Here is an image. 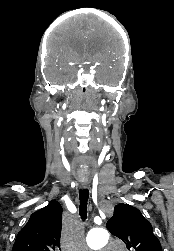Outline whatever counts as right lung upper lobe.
Instances as JSON below:
<instances>
[{
	"instance_id": "obj_1",
	"label": "right lung upper lobe",
	"mask_w": 174,
	"mask_h": 251,
	"mask_svg": "<svg viewBox=\"0 0 174 251\" xmlns=\"http://www.w3.org/2000/svg\"><path fill=\"white\" fill-rule=\"evenodd\" d=\"M62 207L57 201L34 212L18 233L12 251H58L62 227Z\"/></svg>"
}]
</instances>
